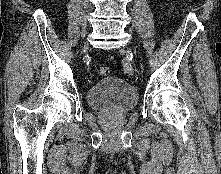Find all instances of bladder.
Instances as JSON below:
<instances>
[{
    "label": "bladder",
    "mask_w": 221,
    "mask_h": 174,
    "mask_svg": "<svg viewBox=\"0 0 221 174\" xmlns=\"http://www.w3.org/2000/svg\"><path fill=\"white\" fill-rule=\"evenodd\" d=\"M87 102L95 110L128 111L138 102L136 88L117 76H105L91 85Z\"/></svg>",
    "instance_id": "31cf9c89"
}]
</instances>
